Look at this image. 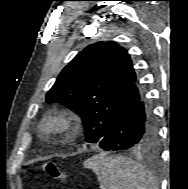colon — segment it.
I'll return each mask as SVG.
<instances>
[{
  "instance_id": "5ec220e1",
  "label": "colon",
  "mask_w": 188,
  "mask_h": 189,
  "mask_svg": "<svg viewBox=\"0 0 188 189\" xmlns=\"http://www.w3.org/2000/svg\"><path fill=\"white\" fill-rule=\"evenodd\" d=\"M38 169L50 178L58 180L60 183H64L66 181V174L61 170L56 162L45 161L40 164Z\"/></svg>"
}]
</instances>
